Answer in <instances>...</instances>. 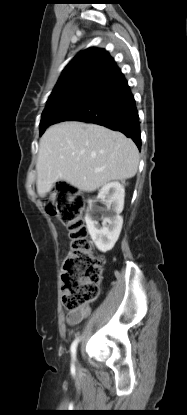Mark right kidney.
<instances>
[{
    "label": "right kidney",
    "mask_w": 187,
    "mask_h": 415,
    "mask_svg": "<svg viewBox=\"0 0 187 415\" xmlns=\"http://www.w3.org/2000/svg\"><path fill=\"white\" fill-rule=\"evenodd\" d=\"M124 197L123 185L119 182H110L101 188L97 197L106 204L107 209L104 210L93 204L85 216L89 234L101 252L111 250L119 238L123 224L120 213L124 207ZM97 212H102V227L96 220Z\"/></svg>",
    "instance_id": "obj_1"
}]
</instances>
